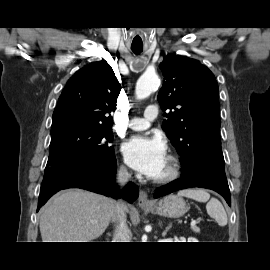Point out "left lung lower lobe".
Listing matches in <instances>:
<instances>
[{
  "label": "left lung lower lobe",
  "mask_w": 270,
  "mask_h": 270,
  "mask_svg": "<svg viewBox=\"0 0 270 270\" xmlns=\"http://www.w3.org/2000/svg\"><path fill=\"white\" fill-rule=\"evenodd\" d=\"M224 165L223 157L208 156L200 158L192 165L182 167L181 178L162 186L160 190L154 193V197L158 198L180 189L201 187L218 192L231 205Z\"/></svg>",
  "instance_id": "obj_1"
}]
</instances>
